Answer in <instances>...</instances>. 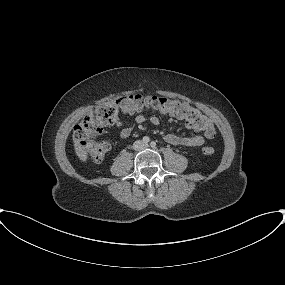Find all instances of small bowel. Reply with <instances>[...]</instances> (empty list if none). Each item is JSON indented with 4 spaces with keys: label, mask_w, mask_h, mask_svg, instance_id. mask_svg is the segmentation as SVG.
Wrapping results in <instances>:
<instances>
[{
    "label": "small bowel",
    "mask_w": 285,
    "mask_h": 285,
    "mask_svg": "<svg viewBox=\"0 0 285 285\" xmlns=\"http://www.w3.org/2000/svg\"><path fill=\"white\" fill-rule=\"evenodd\" d=\"M147 120V116L144 112H139L135 115V122L137 124H142ZM150 122L154 125H158L160 123V119L158 116L153 115L150 117ZM116 126L118 128H120V137L122 139H127L131 136L132 132H133V125L132 124H128L126 122H124L123 120H117L116 122ZM186 126L188 128L194 129V130H199L195 127H193L192 125H190L187 121H186ZM213 136L207 135V134H200V133H196L193 135H188V136H182V135H177L174 133H168L164 136V140L172 145H181V146H187V147H197V146H201L204 144L205 142V138H213Z\"/></svg>",
    "instance_id": "small-bowel-1"
}]
</instances>
